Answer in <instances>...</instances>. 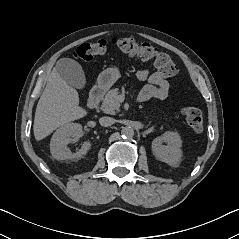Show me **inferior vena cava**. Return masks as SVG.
<instances>
[{"instance_id":"1","label":"inferior vena cava","mask_w":239,"mask_h":239,"mask_svg":"<svg viewBox=\"0 0 239 239\" xmlns=\"http://www.w3.org/2000/svg\"><path fill=\"white\" fill-rule=\"evenodd\" d=\"M99 123L101 126L108 127L115 123V119L108 116H104L99 119Z\"/></svg>"}]
</instances>
